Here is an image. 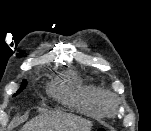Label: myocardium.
Instances as JSON below:
<instances>
[{"instance_id": "myocardium-1", "label": "myocardium", "mask_w": 151, "mask_h": 131, "mask_svg": "<svg viewBox=\"0 0 151 131\" xmlns=\"http://www.w3.org/2000/svg\"><path fill=\"white\" fill-rule=\"evenodd\" d=\"M105 110L108 114H114L119 106V100L114 95H107L104 102Z\"/></svg>"}]
</instances>
